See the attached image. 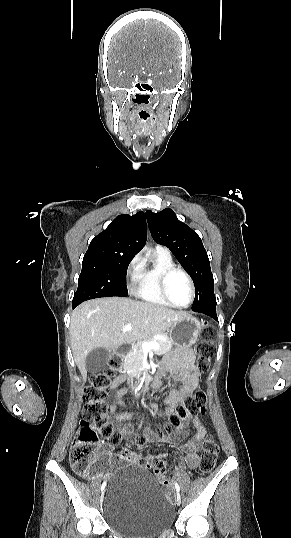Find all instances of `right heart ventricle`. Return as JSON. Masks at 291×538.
<instances>
[{
  "label": "right heart ventricle",
  "instance_id": "right-heart-ventricle-1",
  "mask_svg": "<svg viewBox=\"0 0 291 538\" xmlns=\"http://www.w3.org/2000/svg\"><path fill=\"white\" fill-rule=\"evenodd\" d=\"M174 266V260L168 251L159 248L154 249L150 253V262L142 264L135 290L136 296L144 302L170 306L161 294L159 280L164 270Z\"/></svg>",
  "mask_w": 291,
  "mask_h": 538
}]
</instances>
